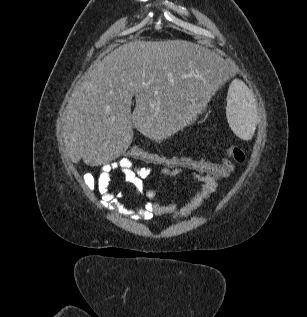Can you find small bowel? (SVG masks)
Returning a JSON list of instances; mask_svg holds the SVG:
<instances>
[{
  "label": "small bowel",
  "instance_id": "c3829d8e",
  "mask_svg": "<svg viewBox=\"0 0 307 317\" xmlns=\"http://www.w3.org/2000/svg\"><path fill=\"white\" fill-rule=\"evenodd\" d=\"M114 171H120L126 181L131 183L137 191L142 194L146 200L143 205L133 211H124V214L134 220H150L154 216L171 215L175 219L189 216L198 209L204 201L209 199L216 191L218 183L217 179L197 172H191V179L195 184V191L190 200H186L185 196L178 201L169 204H163L154 201L156 190L145 189L144 180L153 172L152 167H141L133 162L119 159L115 162L104 164L97 176L96 186L101 195V204L112 211H120V196H115L110 188L112 174ZM182 172V169L162 168L160 175L174 179Z\"/></svg>",
  "mask_w": 307,
  "mask_h": 317
}]
</instances>
